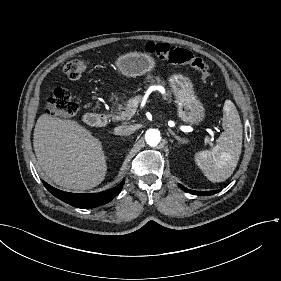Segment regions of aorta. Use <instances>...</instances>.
I'll return each mask as SVG.
<instances>
[{
	"label": "aorta",
	"instance_id": "aorta-1",
	"mask_svg": "<svg viewBox=\"0 0 281 281\" xmlns=\"http://www.w3.org/2000/svg\"><path fill=\"white\" fill-rule=\"evenodd\" d=\"M145 139L150 146H156L161 140L160 132L156 129H148L145 133Z\"/></svg>",
	"mask_w": 281,
	"mask_h": 281
}]
</instances>
